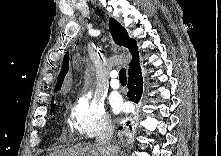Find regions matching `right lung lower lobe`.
<instances>
[{
  "instance_id": "obj_1",
  "label": "right lung lower lobe",
  "mask_w": 221,
  "mask_h": 156,
  "mask_svg": "<svg viewBox=\"0 0 221 156\" xmlns=\"http://www.w3.org/2000/svg\"><path fill=\"white\" fill-rule=\"evenodd\" d=\"M129 77H128V94L130 101H134L135 103H138L141 99V95L143 92V78L141 73L140 65L137 67H134L128 71ZM129 124V121L127 122V125ZM119 129L121 130L122 127L120 126Z\"/></svg>"
}]
</instances>
